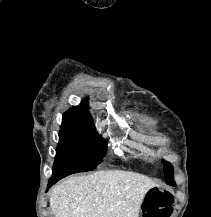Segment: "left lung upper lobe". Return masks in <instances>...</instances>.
I'll return each mask as SVG.
<instances>
[{
	"mask_svg": "<svg viewBox=\"0 0 211 217\" xmlns=\"http://www.w3.org/2000/svg\"><path fill=\"white\" fill-rule=\"evenodd\" d=\"M164 163V173H165V181L167 184L171 185V186H175V181L173 178V167L172 165L167 162V161H163Z\"/></svg>",
	"mask_w": 211,
	"mask_h": 217,
	"instance_id": "1",
	"label": "left lung upper lobe"
}]
</instances>
